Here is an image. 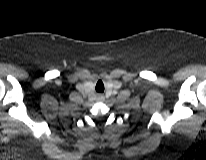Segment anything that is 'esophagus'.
I'll use <instances>...</instances> for the list:
<instances>
[{"instance_id": "34e87169", "label": "esophagus", "mask_w": 206, "mask_h": 160, "mask_svg": "<svg viewBox=\"0 0 206 160\" xmlns=\"http://www.w3.org/2000/svg\"><path fill=\"white\" fill-rule=\"evenodd\" d=\"M103 98H104V96H103L102 94H98V95H97V100H98V101L103 100Z\"/></svg>"}]
</instances>
